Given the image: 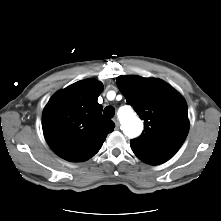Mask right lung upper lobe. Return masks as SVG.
I'll use <instances>...</instances> for the list:
<instances>
[{
	"mask_svg": "<svg viewBox=\"0 0 221 221\" xmlns=\"http://www.w3.org/2000/svg\"><path fill=\"white\" fill-rule=\"evenodd\" d=\"M102 90L101 82L82 80L58 91L47 103L42 115L44 137L61 158L71 162L91 158L113 131V121L102 115L97 102Z\"/></svg>",
	"mask_w": 221,
	"mask_h": 221,
	"instance_id": "right-lung-upper-lobe-1",
	"label": "right lung upper lobe"
}]
</instances>
